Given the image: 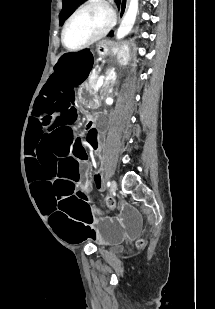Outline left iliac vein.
Listing matches in <instances>:
<instances>
[{"mask_svg":"<svg viewBox=\"0 0 215 309\" xmlns=\"http://www.w3.org/2000/svg\"><path fill=\"white\" fill-rule=\"evenodd\" d=\"M116 190H117V182L115 180H112L110 184V193L114 194Z\"/></svg>","mask_w":215,"mask_h":309,"instance_id":"4c4485c4","label":"left iliac vein"}]
</instances>
